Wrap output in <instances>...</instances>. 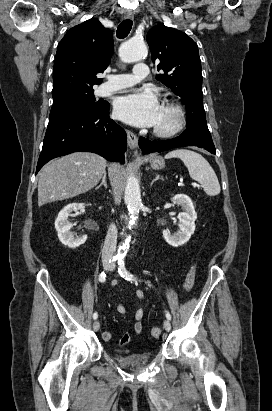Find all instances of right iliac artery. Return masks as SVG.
<instances>
[{"mask_svg":"<svg viewBox=\"0 0 272 411\" xmlns=\"http://www.w3.org/2000/svg\"><path fill=\"white\" fill-rule=\"evenodd\" d=\"M118 258L117 257H113L112 258V260L110 259V262L112 261H116ZM105 280H106V274L104 273V272H101V274L99 275V281L101 282V283H103V282H105ZM98 318V314H97V312H95L94 314H93V319L94 320H96Z\"/></svg>","mask_w":272,"mask_h":411,"instance_id":"82829eb1","label":"right iliac artery"}]
</instances>
